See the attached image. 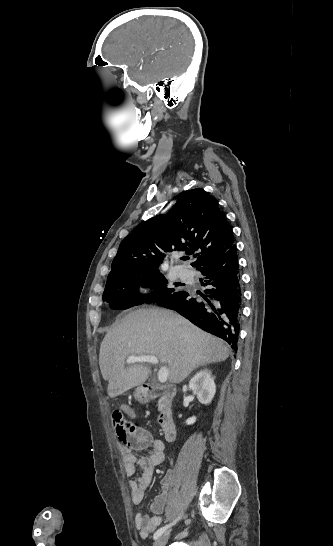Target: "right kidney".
I'll use <instances>...</instances> for the list:
<instances>
[{
	"label": "right kidney",
	"instance_id": "ca27d5eb",
	"mask_svg": "<svg viewBox=\"0 0 333 546\" xmlns=\"http://www.w3.org/2000/svg\"><path fill=\"white\" fill-rule=\"evenodd\" d=\"M189 388L193 391L201 404H208L212 401L216 386L214 379L211 376V370L204 369L199 371L189 382ZM196 417H191L186 420L187 425L195 423Z\"/></svg>",
	"mask_w": 333,
	"mask_h": 546
}]
</instances>
